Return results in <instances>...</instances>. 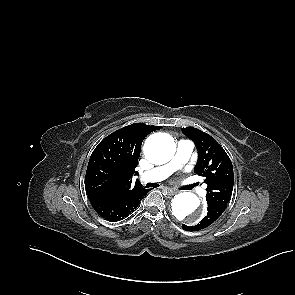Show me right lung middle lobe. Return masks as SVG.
Wrapping results in <instances>:
<instances>
[{
  "label": "right lung middle lobe",
  "mask_w": 295,
  "mask_h": 295,
  "mask_svg": "<svg viewBox=\"0 0 295 295\" xmlns=\"http://www.w3.org/2000/svg\"><path fill=\"white\" fill-rule=\"evenodd\" d=\"M108 171L101 167H92L86 172V191H97L108 182Z\"/></svg>",
  "instance_id": "obj_1"
}]
</instances>
